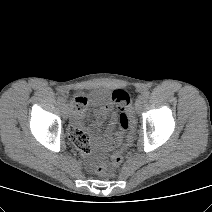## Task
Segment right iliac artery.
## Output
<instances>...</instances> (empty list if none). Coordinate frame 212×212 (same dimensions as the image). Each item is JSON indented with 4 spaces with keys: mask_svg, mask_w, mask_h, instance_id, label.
<instances>
[{
    "mask_svg": "<svg viewBox=\"0 0 212 212\" xmlns=\"http://www.w3.org/2000/svg\"><path fill=\"white\" fill-rule=\"evenodd\" d=\"M63 102H64V98H63V96L61 94H59L58 95V103L62 105Z\"/></svg>",
    "mask_w": 212,
    "mask_h": 212,
    "instance_id": "1",
    "label": "right iliac artery"
}]
</instances>
